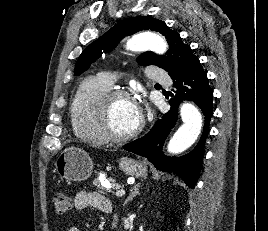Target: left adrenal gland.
Segmentation results:
<instances>
[{"label":"left adrenal gland","instance_id":"left-adrenal-gland-1","mask_svg":"<svg viewBox=\"0 0 268 231\" xmlns=\"http://www.w3.org/2000/svg\"><path fill=\"white\" fill-rule=\"evenodd\" d=\"M140 184H141V183H138V184H135V185L133 186V188L131 189V192H130L129 196H128L127 199L124 201V204H123L124 206H125L128 202L132 201L133 198L136 197V196L139 194V187H140Z\"/></svg>","mask_w":268,"mask_h":231}]
</instances>
